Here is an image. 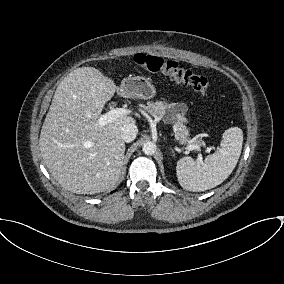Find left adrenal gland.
<instances>
[{"mask_svg":"<svg viewBox=\"0 0 284 284\" xmlns=\"http://www.w3.org/2000/svg\"><path fill=\"white\" fill-rule=\"evenodd\" d=\"M170 150L172 151V153H174V155H175V152H174V150L172 149V148H170Z\"/></svg>","mask_w":284,"mask_h":284,"instance_id":"1","label":"left adrenal gland"}]
</instances>
